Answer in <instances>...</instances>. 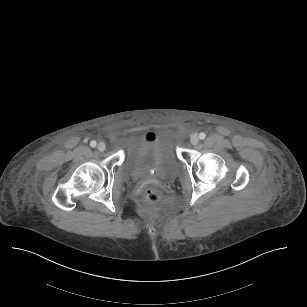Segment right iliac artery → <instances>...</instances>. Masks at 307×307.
Returning a JSON list of instances; mask_svg holds the SVG:
<instances>
[{
  "label": "right iliac artery",
  "instance_id": "1",
  "mask_svg": "<svg viewBox=\"0 0 307 307\" xmlns=\"http://www.w3.org/2000/svg\"><path fill=\"white\" fill-rule=\"evenodd\" d=\"M96 145H97L96 141L93 140V141L90 142L91 147H95Z\"/></svg>",
  "mask_w": 307,
  "mask_h": 307
}]
</instances>
